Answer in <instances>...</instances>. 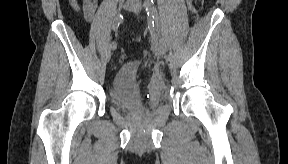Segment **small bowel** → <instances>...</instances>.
I'll return each instance as SVG.
<instances>
[{
	"label": "small bowel",
	"instance_id": "c3829d8e",
	"mask_svg": "<svg viewBox=\"0 0 288 164\" xmlns=\"http://www.w3.org/2000/svg\"><path fill=\"white\" fill-rule=\"evenodd\" d=\"M96 9H97L96 0H86L83 3V12H84L85 19L87 21H91L93 19ZM76 10H79V8L77 7Z\"/></svg>",
	"mask_w": 288,
	"mask_h": 164
}]
</instances>
